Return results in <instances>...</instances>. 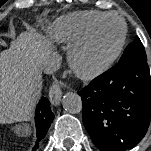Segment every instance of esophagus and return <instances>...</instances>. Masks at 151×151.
I'll return each mask as SVG.
<instances>
[{
	"label": "esophagus",
	"mask_w": 151,
	"mask_h": 151,
	"mask_svg": "<svg viewBox=\"0 0 151 151\" xmlns=\"http://www.w3.org/2000/svg\"><path fill=\"white\" fill-rule=\"evenodd\" d=\"M62 91L58 83H54L49 88V98L53 105L57 106L60 103Z\"/></svg>",
	"instance_id": "34e87169"
}]
</instances>
